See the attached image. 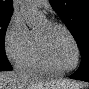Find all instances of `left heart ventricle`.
I'll return each instance as SVG.
<instances>
[{"mask_svg":"<svg viewBox=\"0 0 89 89\" xmlns=\"http://www.w3.org/2000/svg\"><path fill=\"white\" fill-rule=\"evenodd\" d=\"M35 32L44 40L51 63L56 69H68L74 65L75 48L63 29L50 27L47 21H44Z\"/></svg>","mask_w":89,"mask_h":89,"instance_id":"b2bd125f","label":"left heart ventricle"}]
</instances>
